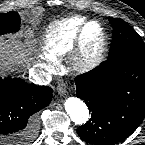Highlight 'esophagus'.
Masks as SVG:
<instances>
[{
	"label": "esophagus",
	"instance_id": "1",
	"mask_svg": "<svg viewBox=\"0 0 145 145\" xmlns=\"http://www.w3.org/2000/svg\"><path fill=\"white\" fill-rule=\"evenodd\" d=\"M57 90H58V92L61 95L65 94L66 93V90H67L66 83H64V82L59 83L58 86H57Z\"/></svg>",
	"mask_w": 145,
	"mask_h": 145
}]
</instances>
